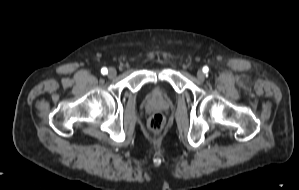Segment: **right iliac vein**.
Instances as JSON below:
<instances>
[{
    "label": "right iliac vein",
    "instance_id": "obj_1",
    "mask_svg": "<svg viewBox=\"0 0 299 190\" xmlns=\"http://www.w3.org/2000/svg\"><path fill=\"white\" fill-rule=\"evenodd\" d=\"M117 72L114 68H110L109 71H108V76L110 78H114L116 76Z\"/></svg>",
    "mask_w": 299,
    "mask_h": 190
}]
</instances>
